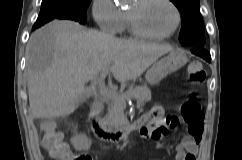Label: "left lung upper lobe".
Here are the masks:
<instances>
[{"mask_svg": "<svg viewBox=\"0 0 242 160\" xmlns=\"http://www.w3.org/2000/svg\"><path fill=\"white\" fill-rule=\"evenodd\" d=\"M171 2L181 13V44L187 47L204 46V24L199 12V0H171Z\"/></svg>", "mask_w": 242, "mask_h": 160, "instance_id": "1", "label": "left lung upper lobe"}]
</instances>
